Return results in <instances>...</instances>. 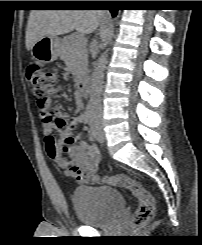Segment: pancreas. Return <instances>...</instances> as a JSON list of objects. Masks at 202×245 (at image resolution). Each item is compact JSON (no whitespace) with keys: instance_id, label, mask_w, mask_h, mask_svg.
<instances>
[{"instance_id":"1","label":"pancreas","mask_w":202,"mask_h":245,"mask_svg":"<svg viewBox=\"0 0 202 245\" xmlns=\"http://www.w3.org/2000/svg\"><path fill=\"white\" fill-rule=\"evenodd\" d=\"M59 55L76 81L80 82L86 74L88 64L85 42L78 36H68L60 45Z\"/></svg>"}]
</instances>
